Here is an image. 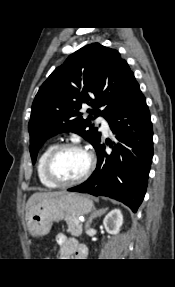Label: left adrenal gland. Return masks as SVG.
<instances>
[{
	"label": "left adrenal gland",
	"mask_w": 175,
	"mask_h": 287,
	"mask_svg": "<svg viewBox=\"0 0 175 287\" xmlns=\"http://www.w3.org/2000/svg\"><path fill=\"white\" fill-rule=\"evenodd\" d=\"M108 210V208H100L98 210H94L90 216H89V219L88 221L86 222V228H89L90 227V224L92 223L93 219L98 217V216H101L102 214H104L106 211Z\"/></svg>",
	"instance_id": "left-adrenal-gland-1"
}]
</instances>
